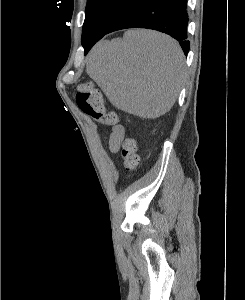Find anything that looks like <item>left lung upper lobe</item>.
I'll use <instances>...</instances> for the list:
<instances>
[{"instance_id": "left-lung-upper-lobe-1", "label": "left lung upper lobe", "mask_w": 245, "mask_h": 300, "mask_svg": "<svg viewBox=\"0 0 245 300\" xmlns=\"http://www.w3.org/2000/svg\"><path fill=\"white\" fill-rule=\"evenodd\" d=\"M137 0H88L82 33L85 48L91 33L103 34L128 7Z\"/></svg>"}]
</instances>
